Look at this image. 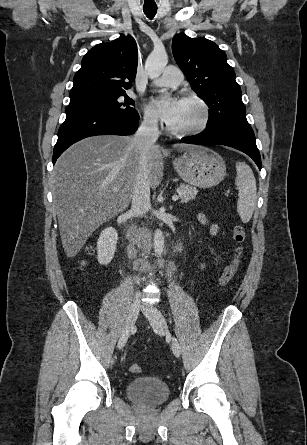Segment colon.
Wrapping results in <instances>:
<instances>
[{"label":"colon","mask_w":307,"mask_h":445,"mask_svg":"<svg viewBox=\"0 0 307 445\" xmlns=\"http://www.w3.org/2000/svg\"><path fill=\"white\" fill-rule=\"evenodd\" d=\"M233 240L235 242V250L230 262L225 267L224 272L221 276L220 284L222 286H226L234 277L243 254L246 232L242 225H236L234 227ZM140 370L141 368L138 364L134 363L129 366V372L131 373H139Z\"/></svg>","instance_id":"1"}]
</instances>
